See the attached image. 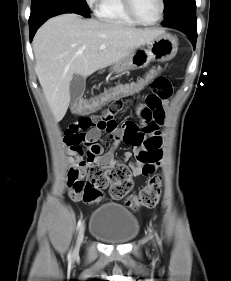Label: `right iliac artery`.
I'll return each instance as SVG.
<instances>
[{
  "mask_svg": "<svg viewBox=\"0 0 231 281\" xmlns=\"http://www.w3.org/2000/svg\"><path fill=\"white\" fill-rule=\"evenodd\" d=\"M82 225V219H80L77 223V226H76V232L79 230V228L81 227ZM71 255H72V249L70 250L69 254H68V258L70 259L71 258Z\"/></svg>",
  "mask_w": 231,
  "mask_h": 281,
  "instance_id": "1",
  "label": "right iliac artery"
}]
</instances>
